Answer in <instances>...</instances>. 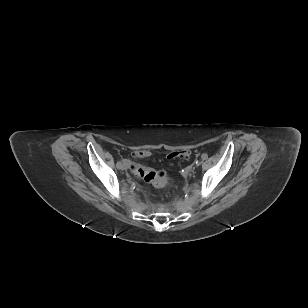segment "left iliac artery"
I'll use <instances>...</instances> for the list:
<instances>
[{
	"mask_svg": "<svg viewBox=\"0 0 308 308\" xmlns=\"http://www.w3.org/2000/svg\"><path fill=\"white\" fill-rule=\"evenodd\" d=\"M207 158V155L206 154H203L202 155V159L204 160V159H206Z\"/></svg>",
	"mask_w": 308,
	"mask_h": 308,
	"instance_id": "44dca946",
	"label": "left iliac artery"
}]
</instances>
